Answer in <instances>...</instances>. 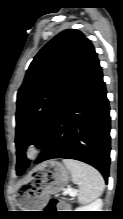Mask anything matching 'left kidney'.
<instances>
[{
	"mask_svg": "<svg viewBox=\"0 0 123 219\" xmlns=\"http://www.w3.org/2000/svg\"><path fill=\"white\" fill-rule=\"evenodd\" d=\"M102 200L98 199L88 206L79 207L76 211H101Z\"/></svg>",
	"mask_w": 123,
	"mask_h": 219,
	"instance_id": "5707ae66",
	"label": "left kidney"
}]
</instances>
